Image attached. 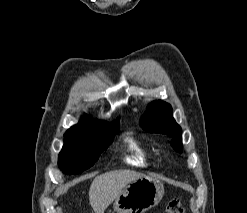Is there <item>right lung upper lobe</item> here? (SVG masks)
I'll return each mask as SVG.
<instances>
[{
    "instance_id": "1",
    "label": "right lung upper lobe",
    "mask_w": 247,
    "mask_h": 213,
    "mask_svg": "<svg viewBox=\"0 0 247 213\" xmlns=\"http://www.w3.org/2000/svg\"><path fill=\"white\" fill-rule=\"evenodd\" d=\"M117 123H119L118 120L113 125ZM104 127L109 126L105 122L100 123L86 116L82 118L78 124L68 129L64 136L89 135L98 132L101 128Z\"/></svg>"
}]
</instances>
